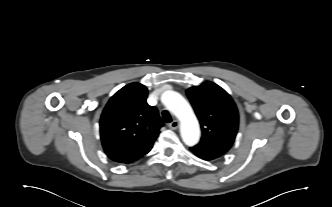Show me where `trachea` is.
<instances>
[{
	"instance_id": "trachea-1",
	"label": "trachea",
	"mask_w": 332,
	"mask_h": 207,
	"mask_svg": "<svg viewBox=\"0 0 332 207\" xmlns=\"http://www.w3.org/2000/svg\"><path fill=\"white\" fill-rule=\"evenodd\" d=\"M162 118H163V121L166 123H169L172 121V117H171L170 113L166 110H164L162 112Z\"/></svg>"
}]
</instances>
